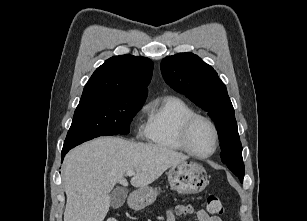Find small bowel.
<instances>
[{
	"label": "small bowel",
	"mask_w": 307,
	"mask_h": 221,
	"mask_svg": "<svg viewBox=\"0 0 307 221\" xmlns=\"http://www.w3.org/2000/svg\"><path fill=\"white\" fill-rule=\"evenodd\" d=\"M195 214L198 221H222L216 215H210L207 211L195 210L191 205L178 204L171 207L166 214L167 221H176L177 216Z\"/></svg>",
	"instance_id": "small-bowel-1"
}]
</instances>
